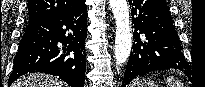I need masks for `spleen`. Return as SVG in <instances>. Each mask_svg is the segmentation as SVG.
Masks as SVG:
<instances>
[{
	"label": "spleen",
	"mask_w": 205,
	"mask_h": 87,
	"mask_svg": "<svg viewBox=\"0 0 205 87\" xmlns=\"http://www.w3.org/2000/svg\"><path fill=\"white\" fill-rule=\"evenodd\" d=\"M167 85L168 87H183V84L173 76L167 78Z\"/></svg>",
	"instance_id": "spleen-1"
}]
</instances>
